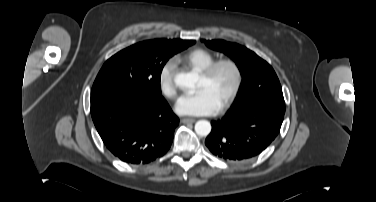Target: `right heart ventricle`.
Here are the masks:
<instances>
[{
    "mask_svg": "<svg viewBox=\"0 0 376 202\" xmlns=\"http://www.w3.org/2000/svg\"><path fill=\"white\" fill-rule=\"evenodd\" d=\"M215 56L206 49L197 48L176 56L174 61L197 71H202L214 62Z\"/></svg>",
    "mask_w": 376,
    "mask_h": 202,
    "instance_id": "right-heart-ventricle-1",
    "label": "right heart ventricle"
}]
</instances>
